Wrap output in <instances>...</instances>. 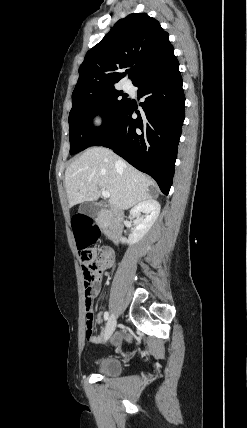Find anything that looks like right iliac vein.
Segmentation results:
<instances>
[{"label": "right iliac vein", "instance_id": "1", "mask_svg": "<svg viewBox=\"0 0 247 428\" xmlns=\"http://www.w3.org/2000/svg\"><path fill=\"white\" fill-rule=\"evenodd\" d=\"M116 318L114 315H111L107 324H106V329H105V333H104V340H108L110 338V336L113 334L115 328H116Z\"/></svg>", "mask_w": 247, "mask_h": 428}]
</instances>
